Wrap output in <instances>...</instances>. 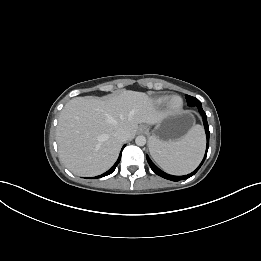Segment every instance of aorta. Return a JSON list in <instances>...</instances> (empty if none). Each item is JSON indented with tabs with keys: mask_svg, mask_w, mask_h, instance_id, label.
Instances as JSON below:
<instances>
[{
	"mask_svg": "<svg viewBox=\"0 0 261 261\" xmlns=\"http://www.w3.org/2000/svg\"><path fill=\"white\" fill-rule=\"evenodd\" d=\"M135 143L138 146H144L146 144V138L144 136H137L135 139Z\"/></svg>",
	"mask_w": 261,
	"mask_h": 261,
	"instance_id": "obj_1",
	"label": "aorta"
}]
</instances>
